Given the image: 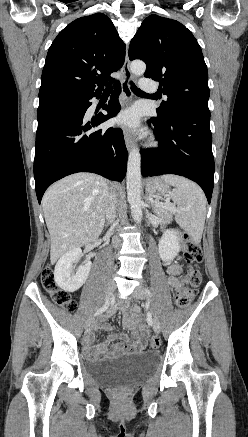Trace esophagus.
I'll list each match as a JSON object with an SVG mask.
<instances>
[{
  "label": "esophagus",
  "instance_id": "obj_1",
  "mask_svg": "<svg viewBox=\"0 0 248 437\" xmlns=\"http://www.w3.org/2000/svg\"><path fill=\"white\" fill-rule=\"evenodd\" d=\"M122 71H123V76L121 79L122 93H123L125 105H127L130 102V100L132 99V92L130 89V81L132 79V73L130 70V61H129V57H128V52H126L125 61H124ZM124 140H125V144H126L127 149L130 150L132 148V137H131V134L128 130H124Z\"/></svg>",
  "mask_w": 248,
  "mask_h": 437
}]
</instances>
